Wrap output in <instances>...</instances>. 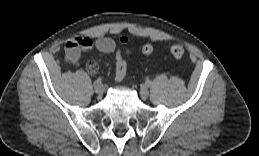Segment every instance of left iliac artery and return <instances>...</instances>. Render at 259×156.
Returning <instances> with one entry per match:
<instances>
[{"instance_id": "left-iliac-artery-1", "label": "left iliac artery", "mask_w": 259, "mask_h": 156, "mask_svg": "<svg viewBox=\"0 0 259 156\" xmlns=\"http://www.w3.org/2000/svg\"><path fill=\"white\" fill-rule=\"evenodd\" d=\"M146 85L149 87L151 85V82L149 80H147Z\"/></svg>"}]
</instances>
